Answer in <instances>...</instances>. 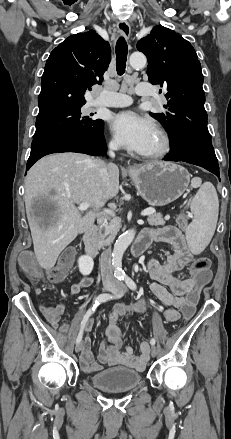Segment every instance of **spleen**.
I'll list each match as a JSON object with an SVG mask.
<instances>
[{"mask_svg":"<svg viewBox=\"0 0 231 439\" xmlns=\"http://www.w3.org/2000/svg\"><path fill=\"white\" fill-rule=\"evenodd\" d=\"M193 221L186 230V239L193 254L201 253L211 241L216 229L219 201L210 182L201 185L191 202Z\"/></svg>","mask_w":231,"mask_h":439,"instance_id":"obj_1","label":"spleen"}]
</instances>
